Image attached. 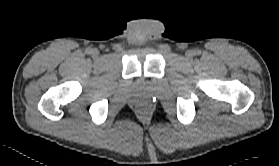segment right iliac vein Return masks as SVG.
<instances>
[{"instance_id":"obj_1","label":"right iliac vein","mask_w":279,"mask_h":166,"mask_svg":"<svg viewBox=\"0 0 279 166\" xmlns=\"http://www.w3.org/2000/svg\"><path fill=\"white\" fill-rule=\"evenodd\" d=\"M92 54H93L94 56H98V55H99V51H98L97 49H93V50H92Z\"/></svg>"}]
</instances>
